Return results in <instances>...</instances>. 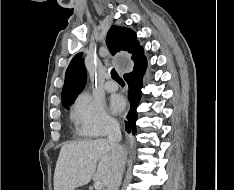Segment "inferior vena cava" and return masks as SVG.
Instances as JSON below:
<instances>
[{
	"label": "inferior vena cava",
	"instance_id": "1",
	"mask_svg": "<svg viewBox=\"0 0 234 190\" xmlns=\"http://www.w3.org/2000/svg\"><path fill=\"white\" fill-rule=\"evenodd\" d=\"M121 130L117 122L110 123L108 127V142L113 157V167L110 181L106 190H118L122 181L125 166V151L120 146Z\"/></svg>",
	"mask_w": 234,
	"mask_h": 190
}]
</instances>
